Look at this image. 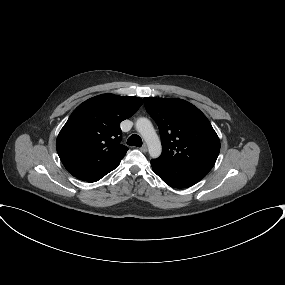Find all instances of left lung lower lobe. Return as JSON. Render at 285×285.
Segmentation results:
<instances>
[{
    "label": "left lung lower lobe",
    "mask_w": 285,
    "mask_h": 285,
    "mask_svg": "<svg viewBox=\"0 0 285 285\" xmlns=\"http://www.w3.org/2000/svg\"><path fill=\"white\" fill-rule=\"evenodd\" d=\"M153 171L169 186L174 188L190 187L201 179L206 174L195 169L185 166L170 165L158 159L151 161Z\"/></svg>",
    "instance_id": "left-lung-lower-lobe-1"
}]
</instances>
